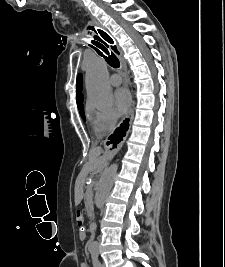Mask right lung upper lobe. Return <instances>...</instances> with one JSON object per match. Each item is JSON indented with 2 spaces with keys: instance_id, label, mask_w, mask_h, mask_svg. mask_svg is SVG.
I'll use <instances>...</instances> for the list:
<instances>
[{
  "instance_id": "obj_1",
  "label": "right lung upper lobe",
  "mask_w": 225,
  "mask_h": 267,
  "mask_svg": "<svg viewBox=\"0 0 225 267\" xmlns=\"http://www.w3.org/2000/svg\"><path fill=\"white\" fill-rule=\"evenodd\" d=\"M76 101L78 109L83 108L82 75L79 74L76 82Z\"/></svg>"
}]
</instances>
